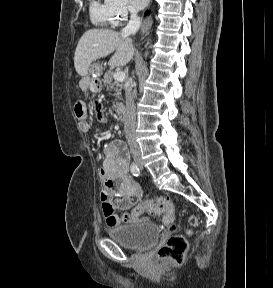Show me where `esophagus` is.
Here are the masks:
<instances>
[{
  "mask_svg": "<svg viewBox=\"0 0 273 288\" xmlns=\"http://www.w3.org/2000/svg\"><path fill=\"white\" fill-rule=\"evenodd\" d=\"M151 24H152V20L148 19L147 22H146V28L149 29Z\"/></svg>",
  "mask_w": 273,
  "mask_h": 288,
  "instance_id": "1",
  "label": "esophagus"
}]
</instances>
